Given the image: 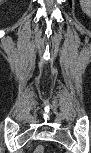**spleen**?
<instances>
[{
	"mask_svg": "<svg viewBox=\"0 0 91 153\" xmlns=\"http://www.w3.org/2000/svg\"><path fill=\"white\" fill-rule=\"evenodd\" d=\"M80 5H81L82 10L86 14H90L91 12V1L90 0H81Z\"/></svg>",
	"mask_w": 91,
	"mask_h": 153,
	"instance_id": "3e777b00",
	"label": "spleen"
}]
</instances>
